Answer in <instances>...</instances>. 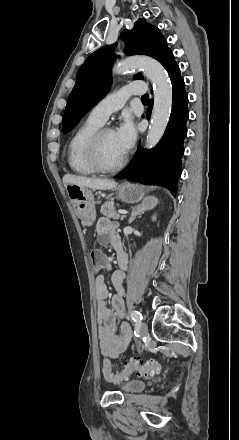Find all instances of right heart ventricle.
<instances>
[{
  "instance_id": "right-heart-ventricle-1",
  "label": "right heart ventricle",
  "mask_w": 239,
  "mask_h": 440,
  "mask_svg": "<svg viewBox=\"0 0 239 440\" xmlns=\"http://www.w3.org/2000/svg\"><path fill=\"white\" fill-rule=\"evenodd\" d=\"M101 126L88 118L70 137L67 149V161L70 169L81 175L97 173L86 157V145L91 135Z\"/></svg>"
}]
</instances>
